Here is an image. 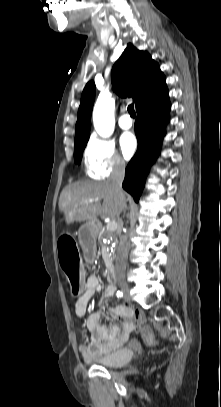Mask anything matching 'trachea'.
<instances>
[{
    "mask_svg": "<svg viewBox=\"0 0 221 407\" xmlns=\"http://www.w3.org/2000/svg\"><path fill=\"white\" fill-rule=\"evenodd\" d=\"M128 112H129V114H130L132 117H135V116H136V113H135L134 105H133V104H130V105L128 106Z\"/></svg>",
    "mask_w": 221,
    "mask_h": 407,
    "instance_id": "trachea-1",
    "label": "trachea"
}]
</instances>
